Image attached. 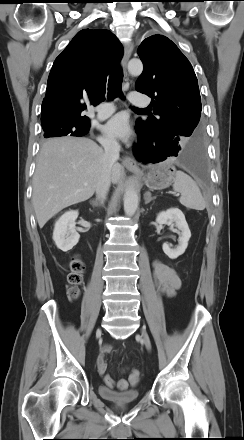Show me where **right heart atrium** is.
<instances>
[{
    "label": "right heart atrium",
    "instance_id": "1",
    "mask_svg": "<svg viewBox=\"0 0 244 440\" xmlns=\"http://www.w3.org/2000/svg\"><path fill=\"white\" fill-rule=\"evenodd\" d=\"M99 140L105 146H112V145H114L113 140H111L110 138H108L106 136H101Z\"/></svg>",
    "mask_w": 244,
    "mask_h": 440
}]
</instances>
